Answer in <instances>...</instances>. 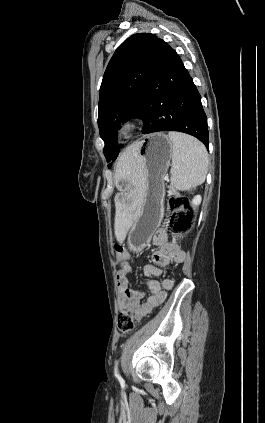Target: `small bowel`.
<instances>
[{"instance_id":"obj_1","label":"small bowel","mask_w":265,"mask_h":423,"mask_svg":"<svg viewBox=\"0 0 265 423\" xmlns=\"http://www.w3.org/2000/svg\"><path fill=\"white\" fill-rule=\"evenodd\" d=\"M152 244L157 250L151 257L153 264L144 267V273L148 277L162 276L165 274L164 268L170 262L181 263L185 259V251L177 243L169 241L164 228H159L154 233ZM120 264L117 272L118 308L121 312H131L134 318L140 321L165 300L167 291L173 288V279L168 276H164L161 282L149 279L143 282L145 289L134 290L128 286V276L131 272L129 255L126 261Z\"/></svg>"}]
</instances>
